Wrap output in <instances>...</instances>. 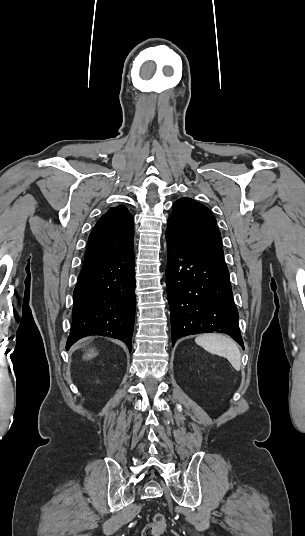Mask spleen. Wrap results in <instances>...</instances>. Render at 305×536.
I'll return each mask as SVG.
<instances>
[{"label":"spleen","instance_id":"spleen-1","mask_svg":"<svg viewBox=\"0 0 305 536\" xmlns=\"http://www.w3.org/2000/svg\"><path fill=\"white\" fill-rule=\"evenodd\" d=\"M195 342L210 354L227 358L234 370H240L241 354L237 344L231 338H226L222 334H202V336L195 338Z\"/></svg>","mask_w":305,"mask_h":536}]
</instances>
